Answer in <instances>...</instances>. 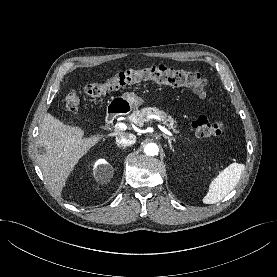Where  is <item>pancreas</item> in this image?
I'll return each mask as SVG.
<instances>
[{
    "label": "pancreas",
    "mask_w": 277,
    "mask_h": 277,
    "mask_svg": "<svg viewBox=\"0 0 277 277\" xmlns=\"http://www.w3.org/2000/svg\"><path fill=\"white\" fill-rule=\"evenodd\" d=\"M149 115L159 116L164 125H166L169 129H172L174 132L176 131L175 121L172 116L167 115L164 111L155 107H146L141 110H135L129 118L133 123L141 127L146 121V117Z\"/></svg>",
    "instance_id": "obj_1"
}]
</instances>
